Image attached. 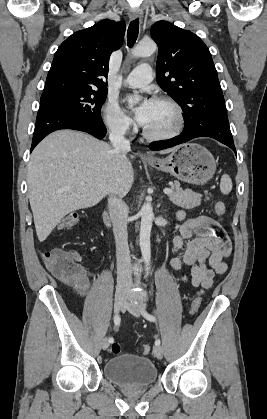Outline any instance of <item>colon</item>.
<instances>
[{
	"instance_id": "colon-1",
	"label": "colon",
	"mask_w": 267,
	"mask_h": 419,
	"mask_svg": "<svg viewBox=\"0 0 267 419\" xmlns=\"http://www.w3.org/2000/svg\"><path fill=\"white\" fill-rule=\"evenodd\" d=\"M215 214L218 217H223L226 214V206L223 202H217L214 207ZM80 220V214L72 212L63 217L60 221L59 229H69L78 224ZM50 268L52 271L60 277H76L82 274L83 267L80 265V256L74 250H65L59 247H55L45 254ZM201 306V298L195 297L192 301L190 311L195 314ZM139 351L142 354H148L150 352V346L143 344L140 346ZM111 352L118 354L120 352V345L113 343L111 346Z\"/></svg>"
}]
</instances>
